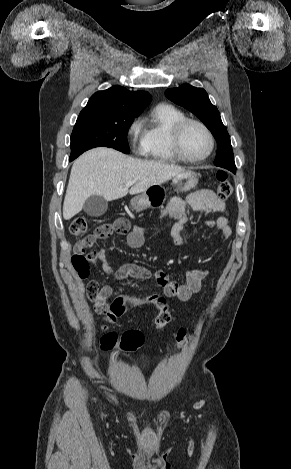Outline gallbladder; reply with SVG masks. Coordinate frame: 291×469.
I'll return each mask as SVG.
<instances>
[{
  "mask_svg": "<svg viewBox=\"0 0 291 469\" xmlns=\"http://www.w3.org/2000/svg\"><path fill=\"white\" fill-rule=\"evenodd\" d=\"M108 208V202L100 195H92L84 203L83 210L93 217L102 216Z\"/></svg>",
  "mask_w": 291,
  "mask_h": 469,
  "instance_id": "gallbladder-1",
  "label": "gallbladder"
}]
</instances>
